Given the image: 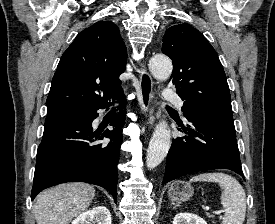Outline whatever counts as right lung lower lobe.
I'll list each match as a JSON object with an SVG mask.
<instances>
[{"label": "right lung lower lobe", "instance_id": "98d812e1", "mask_svg": "<svg viewBox=\"0 0 275 224\" xmlns=\"http://www.w3.org/2000/svg\"><path fill=\"white\" fill-rule=\"evenodd\" d=\"M120 111L110 125L113 130L93 131L97 110L108 108L106 102L83 112L47 115L37 162L31 200L48 187L65 182H87L107 189L117 203V164L122 143L126 100L117 95ZM103 138L111 141L100 142Z\"/></svg>", "mask_w": 275, "mask_h": 224}]
</instances>
